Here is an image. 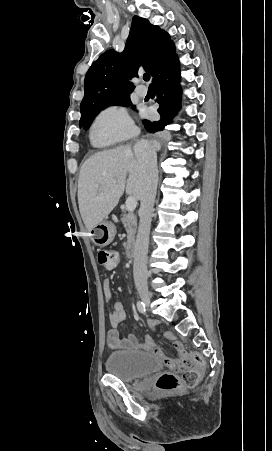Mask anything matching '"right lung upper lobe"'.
Here are the masks:
<instances>
[{
  "label": "right lung upper lobe",
  "instance_id": "right-lung-upper-lobe-1",
  "mask_svg": "<svg viewBox=\"0 0 272 451\" xmlns=\"http://www.w3.org/2000/svg\"><path fill=\"white\" fill-rule=\"evenodd\" d=\"M175 55L174 43L165 31L134 16L124 51H106L88 70L80 111L130 98L135 88L130 80L142 68L154 77Z\"/></svg>",
  "mask_w": 272,
  "mask_h": 451
}]
</instances>
